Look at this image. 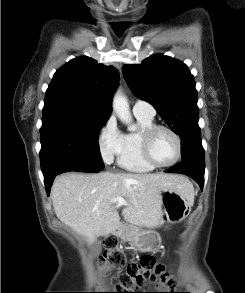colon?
I'll list each match as a JSON object with an SVG mask.
<instances>
[{
    "label": "colon",
    "instance_id": "1",
    "mask_svg": "<svg viewBox=\"0 0 245 293\" xmlns=\"http://www.w3.org/2000/svg\"><path fill=\"white\" fill-rule=\"evenodd\" d=\"M104 245L107 251L98 259L100 266L120 269L126 265L125 272L119 277V283L125 292L113 293H154L128 292L133 288H141L146 282H155L160 276L164 275L163 267L156 262L154 257L141 256L138 261L126 263L124 255L116 250L117 239L115 237L106 238ZM169 284H172V282L169 281Z\"/></svg>",
    "mask_w": 245,
    "mask_h": 293
}]
</instances>
